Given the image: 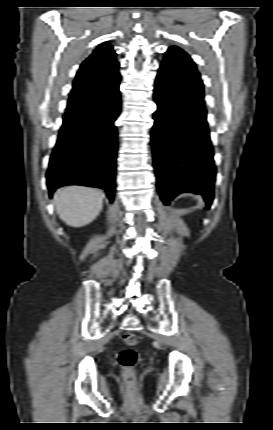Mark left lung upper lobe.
Instances as JSON below:
<instances>
[{"label": "left lung upper lobe", "mask_w": 273, "mask_h": 430, "mask_svg": "<svg viewBox=\"0 0 273 430\" xmlns=\"http://www.w3.org/2000/svg\"><path fill=\"white\" fill-rule=\"evenodd\" d=\"M159 72L174 82L177 90L205 103L204 86L198 69L190 56L176 46L170 47L160 65Z\"/></svg>", "instance_id": "1"}]
</instances>
